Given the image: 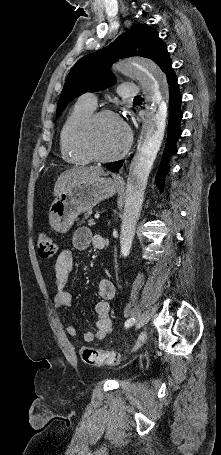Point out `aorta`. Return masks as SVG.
<instances>
[{
    "label": "aorta",
    "mask_w": 221,
    "mask_h": 455,
    "mask_svg": "<svg viewBox=\"0 0 221 455\" xmlns=\"http://www.w3.org/2000/svg\"><path fill=\"white\" fill-rule=\"evenodd\" d=\"M113 69L139 79L144 89L148 109L137 152L131 162L127 178L120 234L121 253L127 256L130 253L142 209L147 179L164 138L168 115V87L162 70L148 59L124 60L116 64Z\"/></svg>",
    "instance_id": "obj_1"
}]
</instances>
